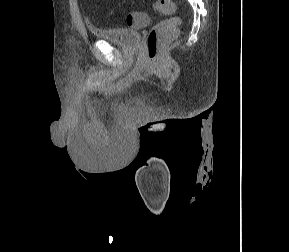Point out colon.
<instances>
[{
    "label": "colon",
    "instance_id": "5ec220e1",
    "mask_svg": "<svg viewBox=\"0 0 289 252\" xmlns=\"http://www.w3.org/2000/svg\"><path fill=\"white\" fill-rule=\"evenodd\" d=\"M154 8L160 14L172 15L175 11V4L173 0H157ZM126 22L129 26L140 27L145 23V16L133 13L127 16ZM179 25L178 17H170L158 22L150 29L147 36V55L152 63H158L164 47L177 36Z\"/></svg>",
    "mask_w": 289,
    "mask_h": 252
}]
</instances>
